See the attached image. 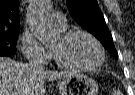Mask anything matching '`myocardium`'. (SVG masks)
<instances>
[{"label": "myocardium", "mask_w": 135, "mask_h": 95, "mask_svg": "<svg viewBox=\"0 0 135 95\" xmlns=\"http://www.w3.org/2000/svg\"><path fill=\"white\" fill-rule=\"evenodd\" d=\"M76 35H84L93 41V43L96 45V47L99 50L98 62H96L95 64H92V65H76V64L66 63L58 57V55L56 54V52L53 49H51L53 58H54L55 62L57 63V65L64 69L79 70V71H89V70H95V69L99 68L105 61V50H104L102 43L93 34H91L90 32H88L86 30H82V29L64 31L61 34V39L64 41H67Z\"/></svg>", "instance_id": "myocardium-1"}]
</instances>
